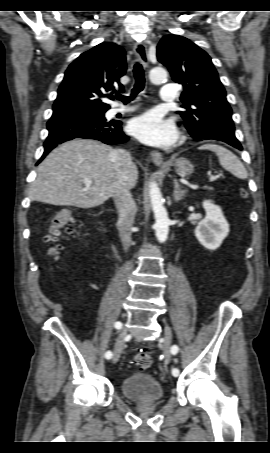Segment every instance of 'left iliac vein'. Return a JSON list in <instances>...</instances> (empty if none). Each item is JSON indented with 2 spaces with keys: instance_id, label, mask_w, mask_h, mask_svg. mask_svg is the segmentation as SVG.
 I'll return each instance as SVG.
<instances>
[{
  "instance_id": "left-iliac-vein-1",
  "label": "left iliac vein",
  "mask_w": 270,
  "mask_h": 453,
  "mask_svg": "<svg viewBox=\"0 0 270 453\" xmlns=\"http://www.w3.org/2000/svg\"><path fill=\"white\" fill-rule=\"evenodd\" d=\"M171 345H172V331L168 325H165L164 328V338H163V352L166 357V361H170L171 357Z\"/></svg>"
}]
</instances>
